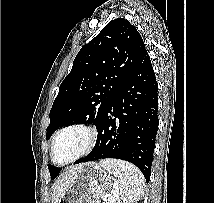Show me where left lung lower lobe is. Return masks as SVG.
Listing matches in <instances>:
<instances>
[{
    "label": "left lung lower lobe",
    "mask_w": 214,
    "mask_h": 203,
    "mask_svg": "<svg viewBox=\"0 0 214 203\" xmlns=\"http://www.w3.org/2000/svg\"><path fill=\"white\" fill-rule=\"evenodd\" d=\"M158 85L145 50L115 93L97 127V141L85 158H116L136 165L148 182L158 130Z\"/></svg>",
    "instance_id": "obj_1"
}]
</instances>
